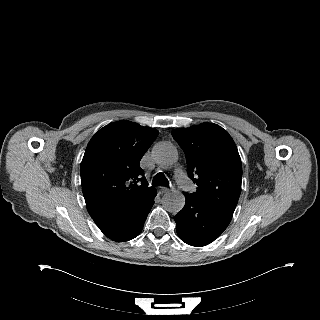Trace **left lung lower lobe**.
<instances>
[{
  "instance_id": "obj_1",
  "label": "left lung lower lobe",
  "mask_w": 320,
  "mask_h": 320,
  "mask_svg": "<svg viewBox=\"0 0 320 320\" xmlns=\"http://www.w3.org/2000/svg\"><path fill=\"white\" fill-rule=\"evenodd\" d=\"M185 195L183 209L174 217L180 239L191 246H205L218 238L232 216L218 208Z\"/></svg>"
}]
</instances>
